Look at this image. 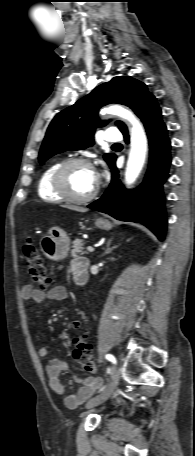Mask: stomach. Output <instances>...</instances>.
<instances>
[{
  "label": "stomach",
  "instance_id": "0dacf381",
  "mask_svg": "<svg viewBox=\"0 0 195 456\" xmlns=\"http://www.w3.org/2000/svg\"><path fill=\"white\" fill-rule=\"evenodd\" d=\"M95 225L102 230H110L113 227L110 221L103 218L96 219ZM69 248L70 239L67 233L59 227L50 228L47 238L41 244L43 254L53 260L64 259L68 255Z\"/></svg>",
  "mask_w": 195,
  "mask_h": 456
}]
</instances>
